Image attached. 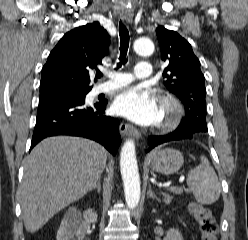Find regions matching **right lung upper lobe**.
Here are the masks:
<instances>
[{"label":"right lung upper lobe","mask_w":248,"mask_h":240,"mask_svg":"<svg viewBox=\"0 0 248 240\" xmlns=\"http://www.w3.org/2000/svg\"><path fill=\"white\" fill-rule=\"evenodd\" d=\"M110 36L99 22L67 32L42 69L39 101L88 93L90 71L102 64Z\"/></svg>","instance_id":"obj_1"}]
</instances>
